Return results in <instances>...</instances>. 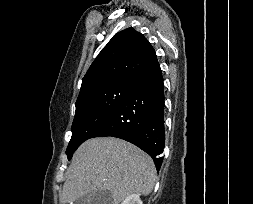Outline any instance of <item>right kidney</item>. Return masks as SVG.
I'll return each mask as SVG.
<instances>
[{
    "label": "right kidney",
    "mask_w": 253,
    "mask_h": 204,
    "mask_svg": "<svg viewBox=\"0 0 253 204\" xmlns=\"http://www.w3.org/2000/svg\"><path fill=\"white\" fill-rule=\"evenodd\" d=\"M121 204H143L139 194H132L127 196Z\"/></svg>",
    "instance_id": "right-kidney-1"
}]
</instances>
